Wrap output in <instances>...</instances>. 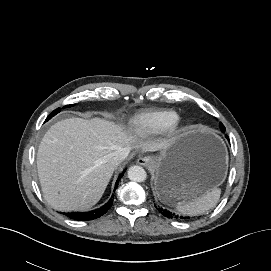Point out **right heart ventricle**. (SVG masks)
<instances>
[{
	"label": "right heart ventricle",
	"instance_id": "obj_1",
	"mask_svg": "<svg viewBox=\"0 0 271 271\" xmlns=\"http://www.w3.org/2000/svg\"><path fill=\"white\" fill-rule=\"evenodd\" d=\"M178 119L173 110L149 111L136 115L130 122L131 130L140 135L165 131Z\"/></svg>",
	"mask_w": 271,
	"mask_h": 271
}]
</instances>
